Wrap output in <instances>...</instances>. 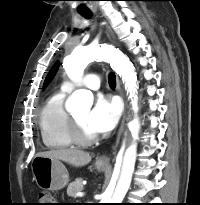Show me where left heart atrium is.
I'll return each mask as SVG.
<instances>
[{
    "instance_id": "obj_1",
    "label": "left heart atrium",
    "mask_w": 200,
    "mask_h": 205,
    "mask_svg": "<svg viewBox=\"0 0 200 205\" xmlns=\"http://www.w3.org/2000/svg\"><path fill=\"white\" fill-rule=\"evenodd\" d=\"M120 106L110 97L99 96L87 117V125L95 134L111 131L118 122Z\"/></svg>"
}]
</instances>
